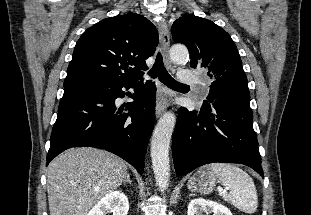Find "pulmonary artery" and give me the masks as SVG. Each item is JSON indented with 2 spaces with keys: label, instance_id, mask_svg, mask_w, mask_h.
<instances>
[{
  "label": "pulmonary artery",
  "instance_id": "obj_1",
  "mask_svg": "<svg viewBox=\"0 0 311 215\" xmlns=\"http://www.w3.org/2000/svg\"><path fill=\"white\" fill-rule=\"evenodd\" d=\"M179 79L183 83L199 85L203 90H206L208 87V83L206 81L188 70H181L179 72Z\"/></svg>",
  "mask_w": 311,
  "mask_h": 215
}]
</instances>
